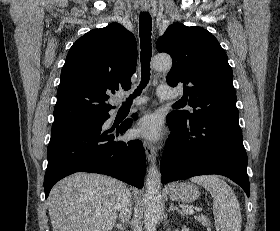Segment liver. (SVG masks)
I'll use <instances>...</instances> for the list:
<instances>
[{"mask_svg":"<svg viewBox=\"0 0 280 231\" xmlns=\"http://www.w3.org/2000/svg\"><path fill=\"white\" fill-rule=\"evenodd\" d=\"M124 183L100 173H72L52 187L49 213L53 231H111ZM134 195L140 191L134 187Z\"/></svg>","mask_w":280,"mask_h":231,"instance_id":"6515ba94","label":"liver"}]
</instances>
